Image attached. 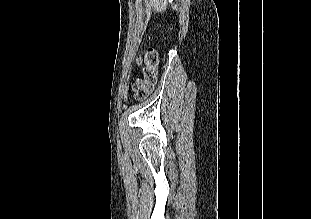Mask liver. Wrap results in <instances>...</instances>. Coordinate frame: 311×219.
<instances>
[{
  "instance_id": "6515ba94",
  "label": "liver",
  "mask_w": 311,
  "mask_h": 219,
  "mask_svg": "<svg viewBox=\"0 0 311 219\" xmlns=\"http://www.w3.org/2000/svg\"><path fill=\"white\" fill-rule=\"evenodd\" d=\"M167 0H149V5L158 12H163L167 6Z\"/></svg>"
}]
</instances>
